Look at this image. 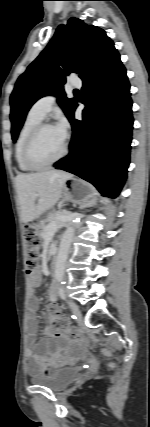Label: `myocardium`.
I'll return each mask as SVG.
<instances>
[{
    "label": "myocardium",
    "instance_id": "myocardium-1",
    "mask_svg": "<svg viewBox=\"0 0 150 427\" xmlns=\"http://www.w3.org/2000/svg\"><path fill=\"white\" fill-rule=\"evenodd\" d=\"M53 127H57L55 124L50 123V122H41L39 124H37L29 133L28 137L26 138L25 144H24V148H23V158H24V162L26 163V165L31 168L32 170H42V169H46L54 164H56L57 162H59L60 160H62L69 151V143H68V139L66 138L65 140V145L64 148L62 150V152L52 161L44 163V164H37L35 163L32 158H31V149L32 146L34 144V141L36 140L37 136L44 130L47 128H53Z\"/></svg>",
    "mask_w": 150,
    "mask_h": 427
}]
</instances>
